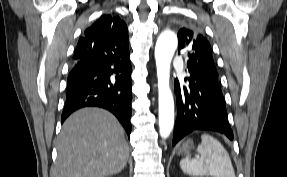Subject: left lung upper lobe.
Segmentation results:
<instances>
[{
    "label": "left lung upper lobe",
    "mask_w": 287,
    "mask_h": 177,
    "mask_svg": "<svg viewBox=\"0 0 287 177\" xmlns=\"http://www.w3.org/2000/svg\"><path fill=\"white\" fill-rule=\"evenodd\" d=\"M178 50L188 59L189 72L205 85L216 84L218 73L207 39L197 30L183 27L178 32Z\"/></svg>",
    "instance_id": "5c2ea615"
}]
</instances>
